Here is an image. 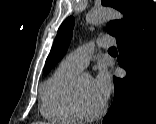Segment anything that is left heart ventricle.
I'll return each instance as SVG.
<instances>
[{"instance_id":"left-heart-ventricle-1","label":"left heart ventricle","mask_w":156,"mask_h":124,"mask_svg":"<svg viewBox=\"0 0 156 124\" xmlns=\"http://www.w3.org/2000/svg\"><path fill=\"white\" fill-rule=\"evenodd\" d=\"M80 95L82 104L87 111L94 112L104 104L96 93L92 78L89 76H83L80 79Z\"/></svg>"}]
</instances>
